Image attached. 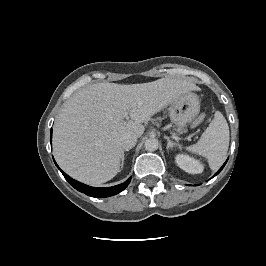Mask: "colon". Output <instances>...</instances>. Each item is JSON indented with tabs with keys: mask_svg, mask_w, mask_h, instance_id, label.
Instances as JSON below:
<instances>
[{
	"mask_svg": "<svg viewBox=\"0 0 266 266\" xmlns=\"http://www.w3.org/2000/svg\"><path fill=\"white\" fill-rule=\"evenodd\" d=\"M205 119V115H199L193 122H192V126H197L200 123H202Z\"/></svg>",
	"mask_w": 266,
	"mask_h": 266,
	"instance_id": "5ec220e1",
	"label": "colon"
}]
</instances>
